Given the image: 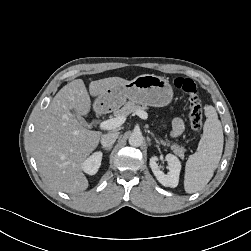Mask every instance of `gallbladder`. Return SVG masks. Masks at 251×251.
Wrapping results in <instances>:
<instances>
[{
  "mask_svg": "<svg viewBox=\"0 0 251 251\" xmlns=\"http://www.w3.org/2000/svg\"><path fill=\"white\" fill-rule=\"evenodd\" d=\"M77 119H78V121L82 124V125H84V126H86L87 125V122L85 121V119L84 118H82L81 116H77Z\"/></svg>",
  "mask_w": 251,
  "mask_h": 251,
  "instance_id": "bac80fb5",
  "label": "gallbladder"
}]
</instances>
